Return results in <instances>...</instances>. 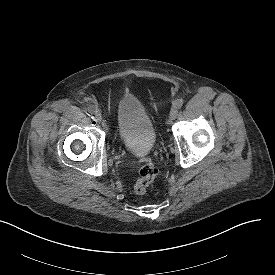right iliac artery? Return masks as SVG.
Wrapping results in <instances>:
<instances>
[{
    "label": "right iliac artery",
    "mask_w": 275,
    "mask_h": 275,
    "mask_svg": "<svg viewBox=\"0 0 275 275\" xmlns=\"http://www.w3.org/2000/svg\"><path fill=\"white\" fill-rule=\"evenodd\" d=\"M95 109H96V107H95L94 105H90V106L88 107V111H89L91 114H93V113L95 112Z\"/></svg>",
    "instance_id": "right-iliac-artery-1"
}]
</instances>
